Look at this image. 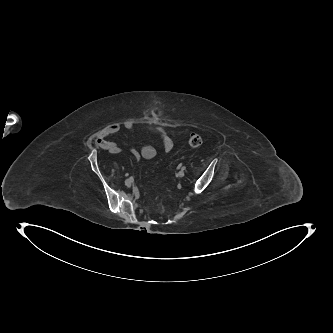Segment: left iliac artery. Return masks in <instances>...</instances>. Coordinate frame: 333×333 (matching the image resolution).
Instances as JSON below:
<instances>
[{
    "instance_id": "1",
    "label": "left iliac artery",
    "mask_w": 333,
    "mask_h": 333,
    "mask_svg": "<svg viewBox=\"0 0 333 333\" xmlns=\"http://www.w3.org/2000/svg\"><path fill=\"white\" fill-rule=\"evenodd\" d=\"M179 167H181V170H185L186 169V167L182 166V165H179Z\"/></svg>"
}]
</instances>
